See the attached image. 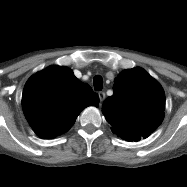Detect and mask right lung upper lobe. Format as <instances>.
Returning a JSON list of instances; mask_svg holds the SVG:
<instances>
[{"label":"right lung upper lobe","mask_w":187,"mask_h":187,"mask_svg":"<svg viewBox=\"0 0 187 187\" xmlns=\"http://www.w3.org/2000/svg\"><path fill=\"white\" fill-rule=\"evenodd\" d=\"M99 98L88 84L66 67L50 66L28 79L22 107L26 119L41 138H54L68 131L79 113L96 106Z\"/></svg>","instance_id":"1"}]
</instances>
